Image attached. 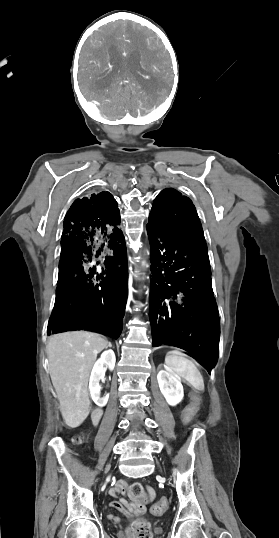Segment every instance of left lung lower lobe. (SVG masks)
I'll use <instances>...</instances> for the list:
<instances>
[{"instance_id":"obj_1","label":"left lung lower lobe","mask_w":279,"mask_h":538,"mask_svg":"<svg viewBox=\"0 0 279 538\" xmlns=\"http://www.w3.org/2000/svg\"><path fill=\"white\" fill-rule=\"evenodd\" d=\"M151 245L149 319L152 346L188 351L211 373L219 354L220 321L206 242L147 228Z\"/></svg>"}]
</instances>
